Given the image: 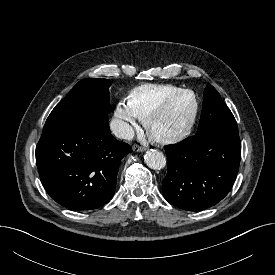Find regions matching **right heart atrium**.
I'll list each match as a JSON object with an SVG mask.
<instances>
[{
	"label": "right heart atrium",
	"instance_id": "1",
	"mask_svg": "<svg viewBox=\"0 0 275 275\" xmlns=\"http://www.w3.org/2000/svg\"><path fill=\"white\" fill-rule=\"evenodd\" d=\"M137 118L127 102H119L115 108L113 121V128L116 134L121 138L128 137Z\"/></svg>",
	"mask_w": 275,
	"mask_h": 275
}]
</instances>
